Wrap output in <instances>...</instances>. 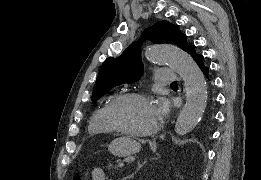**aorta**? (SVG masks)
<instances>
[{
	"instance_id": "aorta-1",
	"label": "aorta",
	"mask_w": 261,
	"mask_h": 180,
	"mask_svg": "<svg viewBox=\"0 0 261 180\" xmlns=\"http://www.w3.org/2000/svg\"><path fill=\"white\" fill-rule=\"evenodd\" d=\"M145 57L152 62L168 64L183 79L186 103L176 121L175 131L179 135L189 133L201 120L207 105V87L202 71L189 54L172 45L148 48Z\"/></svg>"
}]
</instances>
